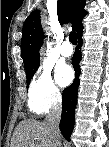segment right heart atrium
<instances>
[{
	"mask_svg": "<svg viewBox=\"0 0 109 147\" xmlns=\"http://www.w3.org/2000/svg\"><path fill=\"white\" fill-rule=\"evenodd\" d=\"M61 100V92L51 76L50 68L40 67L31 80L29 103L37 106L40 113L55 107Z\"/></svg>",
	"mask_w": 109,
	"mask_h": 147,
	"instance_id": "1",
	"label": "right heart atrium"
}]
</instances>
